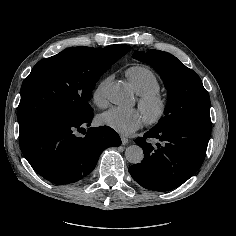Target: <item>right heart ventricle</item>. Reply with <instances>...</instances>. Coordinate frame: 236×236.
<instances>
[{"label":"right heart ventricle","mask_w":236,"mask_h":236,"mask_svg":"<svg viewBox=\"0 0 236 236\" xmlns=\"http://www.w3.org/2000/svg\"><path fill=\"white\" fill-rule=\"evenodd\" d=\"M126 76L140 96L159 92L160 82L156 74L146 66L135 65L126 70Z\"/></svg>","instance_id":"e07e8e85"}]
</instances>
